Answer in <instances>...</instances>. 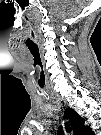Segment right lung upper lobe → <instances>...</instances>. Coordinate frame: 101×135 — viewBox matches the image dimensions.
Wrapping results in <instances>:
<instances>
[{"mask_svg": "<svg viewBox=\"0 0 101 135\" xmlns=\"http://www.w3.org/2000/svg\"><path fill=\"white\" fill-rule=\"evenodd\" d=\"M65 117L69 119L75 134L77 135H91L90 128L84 125V119L73 109L67 108L64 113Z\"/></svg>", "mask_w": 101, "mask_h": 135, "instance_id": "cb5924a9", "label": "right lung upper lobe"}]
</instances>
